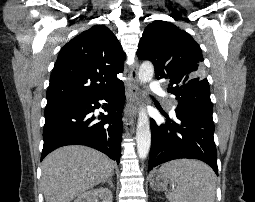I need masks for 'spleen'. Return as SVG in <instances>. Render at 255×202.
Masks as SVG:
<instances>
[{"mask_svg": "<svg viewBox=\"0 0 255 202\" xmlns=\"http://www.w3.org/2000/svg\"><path fill=\"white\" fill-rule=\"evenodd\" d=\"M176 188L166 197L169 202H214L215 173L205 163L197 160H176L159 169Z\"/></svg>", "mask_w": 255, "mask_h": 202, "instance_id": "1", "label": "spleen"}]
</instances>
